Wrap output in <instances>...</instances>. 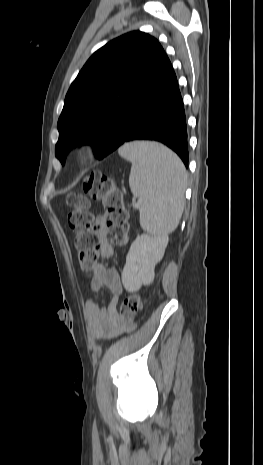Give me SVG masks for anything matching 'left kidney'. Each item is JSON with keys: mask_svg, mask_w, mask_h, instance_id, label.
<instances>
[{"mask_svg": "<svg viewBox=\"0 0 263 465\" xmlns=\"http://www.w3.org/2000/svg\"><path fill=\"white\" fill-rule=\"evenodd\" d=\"M167 244V235L137 236L131 244L122 271V283L128 292H136L142 285H149L153 281L155 266L162 259Z\"/></svg>", "mask_w": 263, "mask_h": 465, "instance_id": "obj_1", "label": "left kidney"}]
</instances>
